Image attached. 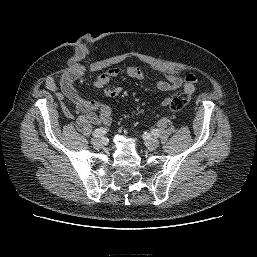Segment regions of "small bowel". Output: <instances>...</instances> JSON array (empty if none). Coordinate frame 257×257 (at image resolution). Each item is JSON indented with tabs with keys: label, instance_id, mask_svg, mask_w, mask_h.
<instances>
[{
	"label": "small bowel",
	"instance_id": "obj_1",
	"mask_svg": "<svg viewBox=\"0 0 257 257\" xmlns=\"http://www.w3.org/2000/svg\"><path fill=\"white\" fill-rule=\"evenodd\" d=\"M163 75L157 86L161 91H169L179 89L181 87L184 90H194L196 85V77L192 74H188L185 77H180L171 70H160ZM125 73L128 77L143 80L144 72L142 69L136 66H129L126 68ZM121 70L119 68H111L104 73L100 74L94 81L96 88H104V95L108 98H115L121 92L120 86L108 87L109 82L119 77ZM79 71H69L63 74L60 78L59 85H57L53 78H48L46 86L49 90L55 93L58 100L61 102L65 115L71 118L73 115L65 105V99H68L74 104L79 113L88 118L94 124H102L108 126L111 123V108L106 105H102L93 100H87L83 98L75 89L74 82L81 77ZM170 102L169 98H163L161 100L162 106H167Z\"/></svg>",
	"mask_w": 257,
	"mask_h": 257
}]
</instances>
